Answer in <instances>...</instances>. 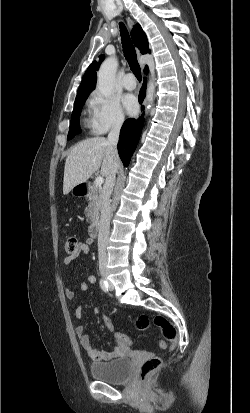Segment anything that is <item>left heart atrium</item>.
Listing matches in <instances>:
<instances>
[{"label": "left heart atrium", "mask_w": 250, "mask_h": 413, "mask_svg": "<svg viewBox=\"0 0 250 413\" xmlns=\"http://www.w3.org/2000/svg\"><path fill=\"white\" fill-rule=\"evenodd\" d=\"M123 105L129 114H133L137 110V100L132 94H126L123 97Z\"/></svg>", "instance_id": "1"}]
</instances>
